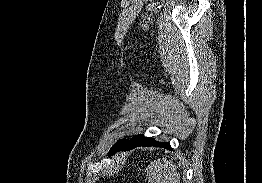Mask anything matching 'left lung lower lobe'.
I'll list each match as a JSON object with an SVG mask.
<instances>
[{"instance_id":"obj_1","label":"left lung lower lobe","mask_w":262,"mask_h":183,"mask_svg":"<svg viewBox=\"0 0 262 183\" xmlns=\"http://www.w3.org/2000/svg\"><path fill=\"white\" fill-rule=\"evenodd\" d=\"M138 146H154V147H163L171 150V146L168 142H157L152 138L144 137L143 135H135L130 140L122 139L119 140L114 146L111 148L109 154L123 150L128 151Z\"/></svg>"}]
</instances>
